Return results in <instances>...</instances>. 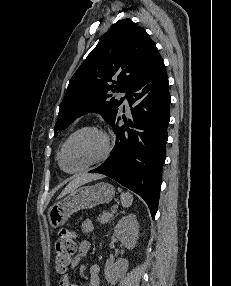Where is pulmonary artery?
<instances>
[{
	"label": "pulmonary artery",
	"instance_id": "1",
	"mask_svg": "<svg viewBox=\"0 0 231 286\" xmlns=\"http://www.w3.org/2000/svg\"><path fill=\"white\" fill-rule=\"evenodd\" d=\"M120 97L123 99L124 105H125V106H128V100H127L126 94L122 92V93L120 94Z\"/></svg>",
	"mask_w": 231,
	"mask_h": 286
}]
</instances>
